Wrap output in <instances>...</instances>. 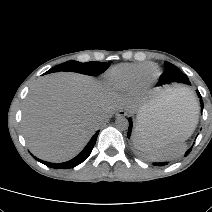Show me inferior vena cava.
<instances>
[{"instance_id": "1", "label": "inferior vena cava", "mask_w": 212, "mask_h": 212, "mask_svg": "<svg viewBox=\"0 0 212 212\" xmlns=\"http://www.w3.org/2000/svg\"><path fill=\"white\" fill-rule=\"evenodd\" d=\"M105 122V118H99L97 119L96 123L98 126L102 125Z\"/></svg>"}]
</instances>
